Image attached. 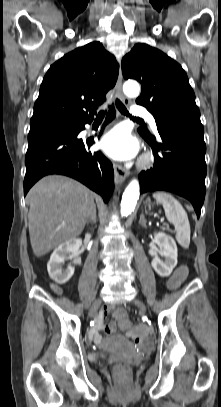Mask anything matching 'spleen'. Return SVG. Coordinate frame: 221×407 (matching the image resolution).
Listing matches in <instances>:
<instances>
[{
	"mask_svg": "<svg viewBox=\"0 0 221 407\" xmlns=\"http://www.w3.org/2000/svg\"><path fill=\"white\" fill-rule=\"evenodd\" d=\"M153 197L163 205L167 220L176 230V240L184 248L190 244V224L187 213L180 202L166 192H155Z\"/></svg>",
	"mask_w": 221,
	"mask_h": 407,
	"instance_id": "1",
	"label": "spleen"
}]
</instances>
